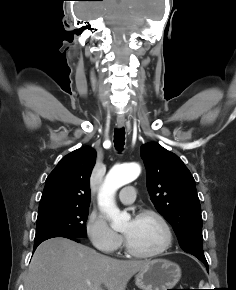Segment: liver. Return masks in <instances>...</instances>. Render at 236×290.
I'll list each match as a JSON object with an SVG mask.
<instances>
[{"mask_svg": "<svg viewBox=\"0 0 236 290\" xmlns=\"http://www.w3.org/2000/svg\"><path fill=\"white\" fill-rule=\"evenodd\" d=\"M149 261L118 260L66 238L41 243L31 260L25 290H125Z\"/></svg>", "mask_w": 236, "mask_h": 290, "instance_id": "obj_1", "label": "liver"}]
</instances>
